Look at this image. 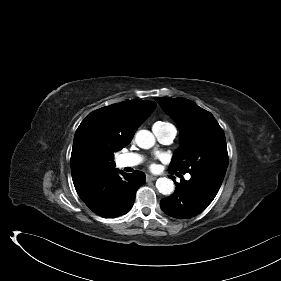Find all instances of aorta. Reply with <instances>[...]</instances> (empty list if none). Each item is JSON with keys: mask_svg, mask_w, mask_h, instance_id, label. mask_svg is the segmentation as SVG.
<instances>
[{"mask_svg": "<svg viewBox=\"0 0 281 281\" xmlns=\"http://www.w3.org/2000/svg\"><path fill=\"white\" fill-rule=\"evenodd\" d=\"M135 141L140 148L149 149L154 146L155 137L148 130H140L136 133ZM156 187L163 195H170L174 191L173 181L166 177L157 179Z\"/></svg>", "mask_w": 281, "mask_h": 281, "instance_id": "obj_1", "label": "aorta"}]
</instances>
